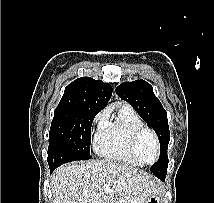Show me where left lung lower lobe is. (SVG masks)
<instances>
[{
    "instance_id": "0a47b994",
    "label": "left lung lower lobe",
    "mask_w": 214,
    "mask_h": 203,
    "mask_svg": "<svg viewBox=\"0 0 214 203\" xmlns=\"http://www.w3.org/2000/svg\"><path fill=\"white\" fill-rule=\"evenodd\" d=\"M161 180L164 181V180H165V177H163Z\"/></svg>"
}]
</instances>
